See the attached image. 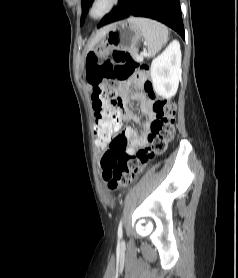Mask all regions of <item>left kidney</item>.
Wrapping results in <instances>:
<instances>
[{
  "instance_id": "5707ae66",
  "label": "left kidney",
  "mask_w": 238,
  "mask_h": 278,
  "mask_svg": "<svg viewBox=\"0 0 238 278\" xmlns=\"http://www.w3.org/2000/svg\"><path fill=\"white\" fill-rule=\"evenodd\" d=\"M181 73L180 44L173 41L151 63L150 74L155 92L165 98L173 97Z\"/></svg>"
}]
</instances>
